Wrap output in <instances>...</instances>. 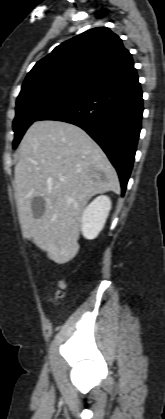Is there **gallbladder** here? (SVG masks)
Listing matches in <instances>:
<instances>
[{"label":"gallbladder","mask_w":165,"mask_h":419,"mask_svg":"<svg viewBox=\"0 0 165 419\" xmlns=\"http://www.w3.org/2000/svg\"><path fill=\"white\" fill-rule=\"evenodd\" d=\"M31 209L34 218H39L45 212V200L42 197H35L31 202Z\"/></svg>","instance_id":"obj_1"}]
</instances>
